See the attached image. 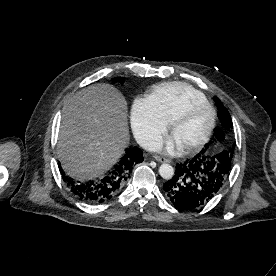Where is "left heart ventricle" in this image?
I'll list each match as a JSON object with an SVG mask.
<instances>
[{
  "mask_svg": "<svg viewBox=\"0 0 276 276\" xmlns=\"http://www.w3.org/2000/svg\"><path fill=\"white\" fill-rule=\"evenodd\" d=\"M209 122V109L203 104H198L176 125L173 135L179 139L184 147H187L201 139Z\"/></svg>",
  "mask_w": 276,
  "mask_h": 276,
  "instance_id": "b2bd125f",
  "label": "left heart ventricle"
}]
</instances>
